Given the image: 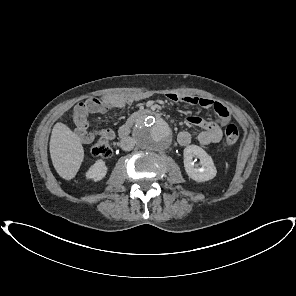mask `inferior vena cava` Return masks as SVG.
<instances>
[{
    "label": "inferior vena cava",
    "mask_w": 296,
    "mask_h": 296,
    "mask_svg": "<svg viewBox=\"0 0 296 296\" xmlns=\"http://www.w3.org/2000/svg\"><path fill=\"white\" fill-rule=\"evenodd\" d=\"M134 145H135V142L131 137H125L120 142V146L124 151L132 150Z\"/></svg>",
    "instance_id": "1"
}]
</instances>
